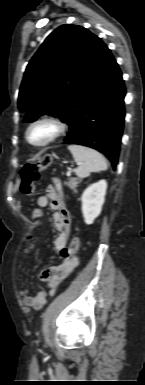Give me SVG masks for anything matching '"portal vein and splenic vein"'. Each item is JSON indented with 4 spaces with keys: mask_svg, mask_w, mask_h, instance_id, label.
Here are the masks:
<instances>
[{
    "mask_svg": "<svg viewBox=\"0 0 145 385\" xmlns=\"http://www.w3.org/2000/svg\"><path fill=\"white\" fill-rule=\"evenodd\" d=\"M70 173H71V171H68V172H67V175H70Z\"/></svg>",
    "mask_w": 145,
    "mask_h": 385,
    "instance_id": "18ae733b",
    "label": "portal vein and splenic vein"
}]
</instances>
